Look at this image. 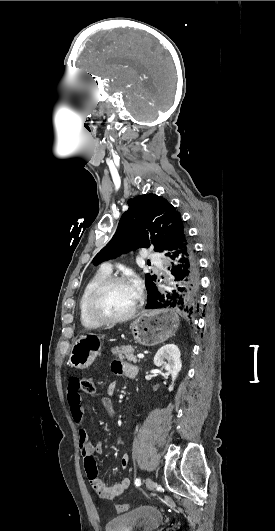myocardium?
<instances>
[{"mask_svg": "<svg viewBox=\"0 0 275 531\" xmlns=\"http://www.w3.org/2000/svg\"><path fill=\"white\" fill-rule=\"evenodd\" d=\"M124 281H128L127 277L124 275L122 276L108 275L93 287V289L90 291L85 301V312H86V315L91 320L99 324H116V323L127 321L131 317L134 316V314L136 313L139 307L141 297H142L140 290L137 291L136 300L132 308L130 309V311L122 316H118V317L106 316L104 314H101L96 308V301L98 297L107 287H109L112 284L124 282Z\"/></svg>", "mask_w": 275, "mask_h": 531, "instance_id": "obj_1", "label": "myocardium"}]
</instances>
